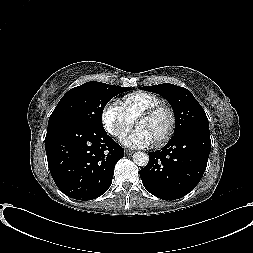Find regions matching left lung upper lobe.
I'll return each instance as SVG.
<instances>
[{"label": "left lung upper lobe", "mask_w": 253, "mask_h": 253, "mask_svg": "<svg viewBox=\"0 0 253 253\" xmlns=\"http://www.w3.org/2000/svg\"><path fill=\"white\" fill-rule=\"evenodd\" d=\"M139 89L157 93L171 104L175 115L174 133L189 126L209 127L208 119L202 106L186 88L164 83L139 87Z\"/></svg>", "instance_id": "5c2ea615"}]
</instances>
